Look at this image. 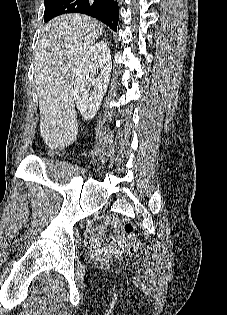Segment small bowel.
<instances>
[{
	"label": "small bowel",
	"instance_id": "c3829d8e",
	"mask_svg": "<svg viewBox=\"0 0 227 315\" xmlns=\"http://www.w3.org/2000/svg\"><path fill=\"white\" fill-rule=\"evenodd\" d=\"M106 232V227H100L98 229L99 234H104ZM120 245V240L117 238H113L111 241L104 243L102 241L97 242V246L106 251L116 250Z\"/></svg>",
	"mask_w": 227,
	"mask_h": 315
}]
</instances>
